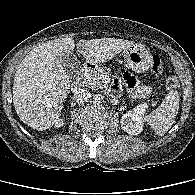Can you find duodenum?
Returning a JSON list of instances; mask_svg holds the SVG:
<instances>
[{"label":"duodenum","instance_id":"1","mask_svg":"<svg viewBox=\"0 0 195 195\" xmlns=\"http://www.w3.org/2000/svg\"><path fill=\"white\" fill-rule=\"evenodd\" d=\"M95 68V65L93 64H86L82 69L81 71L79 72V75H78V78L77 80L74 82L73 84V89L74 90H79L81 88V85H82V79L83 77L88 73L90 72L91 70H93Z\"/></svg>","mask_w":195,"mask_h":195}]
</instances>
